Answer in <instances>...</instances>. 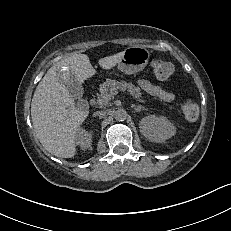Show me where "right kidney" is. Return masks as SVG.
Here are the masks:
<instances>
[{
	"label": "right kidney",
	"mask_w": 231,
	"mask_h": 231,
	"mask_svg": "<svg viewBox=\"0 0 231 231\" xmlns=\"http://www.w3.org/2000/svg\"><path fill=\"white\" fill-rule=\"evenodd\" d=\"M92 135L85 129H79L76 135V144L80 145L82 150H87L91 147Z\"/></svg>",
	"instance_id": "ca27d5eb"
}]
</instances>
